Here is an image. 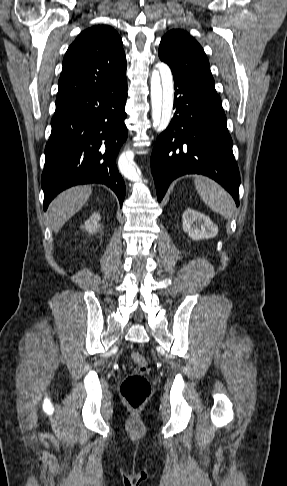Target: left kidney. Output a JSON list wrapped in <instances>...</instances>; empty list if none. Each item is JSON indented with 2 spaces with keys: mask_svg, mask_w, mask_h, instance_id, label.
<instances>
[{
  "mask_svg": "<svg viewBox=\"0 0 287 486\" xmlns=\"http://www.w3.org/2000/svg\"><path fill=\"white\" fill-rule=\"evenodd\" d=\"M182 219L183 231L193 240L210 239L218 234V227L199 211L188 208L184 211Z\"/></svg>",
  "mask_w": 287,
  "mask_h": 486,
  "instance_id": "left-kidney-1",
  "label": "left kidney"
}]
</instances>
